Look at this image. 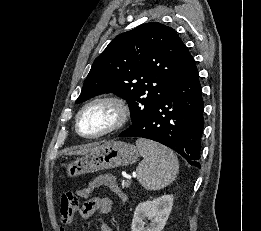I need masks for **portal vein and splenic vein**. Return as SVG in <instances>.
<instances>
[{"label": "portal vein and splenic vein", "instance_id": "obj_1", "mask_svg": "<svg viewBox=\"0 0 261 231\" xmlns=\"http://www.w3.org/2000/svg\"><path fill=\"white\" fill-rule=\"evenodd\" d=\"M125 183H126V184H130V180H127Z\"/></svg>", "mask_w": 261, "mask_h": 231}]
</instances>
